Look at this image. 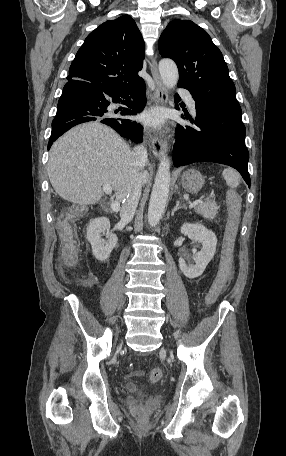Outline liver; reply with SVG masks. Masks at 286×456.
<instances>
[{
  "instance_id": "1",
  "label": "liver",
  "mask_w": 286,
  "mask_h": 456,
  "mask_svg": "<svg viewBox=\"0 0 286 456\" xmlns=\"http://www.w3.org/2000/svg\"><path fill=\"white\" fill-rule=\"evenodd\" d=\"M137 155L111 128L98 122L78 125L51 147L47 172L55 192L78 205H93L110 184L123 201L134 178L146 183L148 173L138 171Z\"/></svg>"
}]
</instances>
